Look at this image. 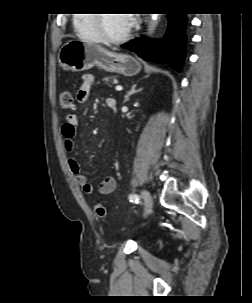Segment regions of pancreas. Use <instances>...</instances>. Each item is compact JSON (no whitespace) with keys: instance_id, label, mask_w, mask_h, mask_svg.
Returning <instances> with one entry per match:
<instances>
[{"instance_id":"pancreas-1","label":"pancreas","mask_w":252,"mask_h":303,"mask_svg":"<svg viewBox=\"0 0 252 303\" xmlns=\"http://www.w3.org/2000/svg\"><path fill=\"white\" fill-rule=\"evenodd\" d=\"M113 77L112 76H107L103 78V81H105L106 83H108Z\"/></svg>"}]
</instances>
